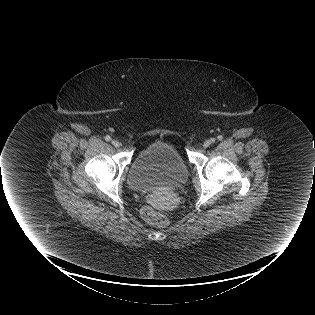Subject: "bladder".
Returning a JSON list of instances; mask_svg holds the SVG:
<instances>
[{
	"instance_id": "31cf9c89",
	"label": "bladder",
	"mask_w": 315,
	"mask_h": 315,
	"mask_svg": "<svg viewBox=\"0 0 315 315\" xmlns=\"http://www.w3.org/2000/svg\"><path fill=\"white\" fill-rule=\"evenodd\" d=\"M187 178V166L177 149L167 142H154L134 158L128 183L137 191H153L180 187Z\"/></svg>"
}]
</instances>
